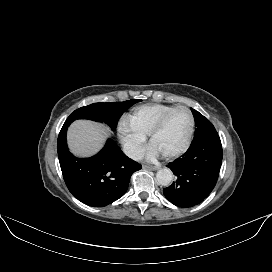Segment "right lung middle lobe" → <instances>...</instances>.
Wrapping results in <instances>:
<instances>
[{"label": "right lung middle lobe", "mask_w": 272, "mask_h": 272, "mask_svg": "<svg viewBox=\"0 0 272 272\" xmlns=\"http://www.w3.org/2000/svg\"><path fill=\"white\" fill-rule=\"evenodd\" d=\"M140 101L141 100L133 99L124 102L93 103L75 110L70 114L67 120L90 119L105 122L115 130L121 115L133 104Z\"/></svg>", "instance_id": "1"}]
</instances>
